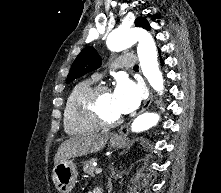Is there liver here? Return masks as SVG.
I'll use <instances>...</instances> for the list:
<instances>
[{
    "mask_svg": "<svg viewBox=\"0 0 221 193\" xmlns=\"http://www.w3.org/2000/svg\"><path fill=\"white\" fill-rule=\"evenodd\" d=\"M108 138V133L73 136L59 146L54 157V165L74 157L96 153L105 147Z\"/></svg>",
    "mask_w": 221,
    "mask_h": 193,
    "instance_id": "1",
    "label": "liver"
}]
</instances>
